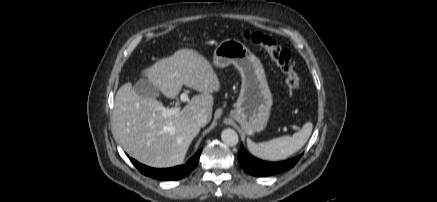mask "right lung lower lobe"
<instances>
[{
  "instance_id": "98d812e1",
  "label": "right lung lower lobe",
  "mask_w": 437,
  "mask_h": 202,
  "mask_svg": "<svg viewBox=\"0 0 437 202\" xmlns=\"http://www.w3.org/2000/svg\"><path fill=\"white\" fill-rule=\"evenodd\" d=\"M202 149L199 150L194 156L189 159L186 164L167 168V169H156L145 166L134 159H130L135 167L144 175L153 177L159 180H178L187 176L198 164Z\"/></svg>"
}]
</instances>
